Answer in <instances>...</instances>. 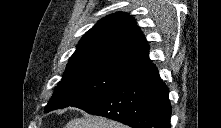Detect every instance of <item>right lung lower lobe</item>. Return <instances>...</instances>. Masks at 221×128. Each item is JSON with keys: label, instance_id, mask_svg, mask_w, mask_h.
Masks as SVG:
<instances>
[{"label": "right lung lower lobe", "instance_id": "right-lung-lower-lobe-1", "mask_svg": "<svg viewBox=\"0 0 221 128\" xmlns=\"http://www.w3.org/2000/svg\"><path fill=\"white\" fill-rule=\"evenodd\" d=\"M74 107L132 128H170L168 87L152 63L124 77L103 94Z\"/></svg>", "mask_w": 221, "mask_h": 128}]
</instances>
